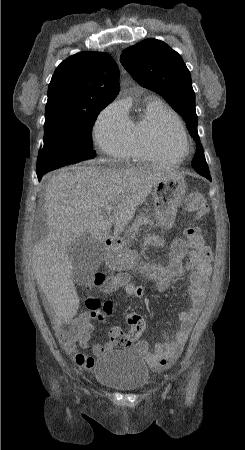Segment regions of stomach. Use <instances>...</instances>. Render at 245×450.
Listing matches in <instances>:
<instances>
[{"label": "stomach", "instance_id": "0dacf381", "mask_svg": "<svg viewBox=\"0 0 245 450\" xmlns=\"http://www.w3.org/2000/svg\"><path fill=\"white\" fill-rule=\"evenodd\" d=\"M187 184L182 177H166L153 187V207L157 225L169 229L173 226L178 208L186 194ZM105 261L114 270L132 269L138 262V255L126 243L112 246L105 255Z\"/></svg>", "mask_w": 245, "mask_h": 450}]
</instances>
